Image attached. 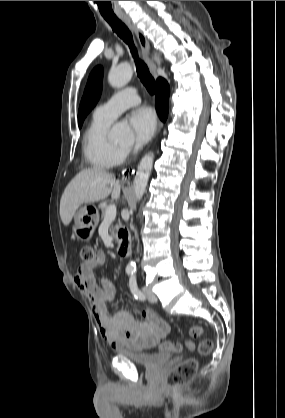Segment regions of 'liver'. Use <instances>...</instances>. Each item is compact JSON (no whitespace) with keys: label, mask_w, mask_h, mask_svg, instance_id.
<instances>
[{"label":"liver","mask_w":285,"mask_h":418,"mask_svg":"<svg viewBox=\"0 0 285 418\" xmlns=\"http://www.w3.org/2000/svg\"><path fill=\"white\" fill-rule=\"evenodd\" d=\"M121 185L115 176L106 170L93 167L81 170L65 188L60 200V217L68 226L82 204L94 203L120 197Z\"/></svg>","instance_id":"6515ba94"}]
</instances>
